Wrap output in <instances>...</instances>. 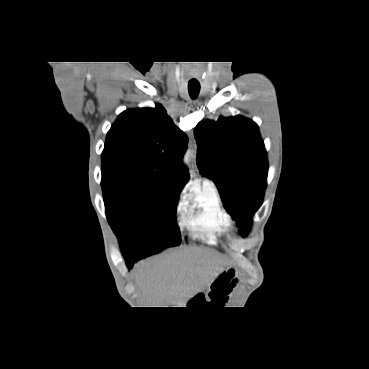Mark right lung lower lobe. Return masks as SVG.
Masks as SVG:
<instances>
[{
  "instance_id": "98d812e1",
  "label": "right lung lower lobe",
  "mask_w": 369,
  "mask_h": 369,
  "mask_svg": "<svg viewBox=\"0 0 369 369\" xmlns=\"http://www.w3.org/2000/svg\"><path fill=\"white\" fill-rule=\"evenodd\" d=\"M136 261H138V260H136V259H133V260H126V263H127L128 268H132V267H133V265H134V263H135Z\"/></svg>"
}]
</instances>
